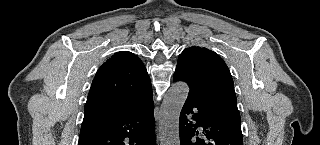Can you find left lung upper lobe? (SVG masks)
<instances>
[{
  "instance_id": "left-lung-upper-lobe-1",
  "label": "left lung upper lobe",
  "mask_w": 320,
  "mask_h": 145,
  "mask_svg": "<svg viewBox=\"0 0 320 145\" xmlns=\"http://www.w3.org/2000/svg\"><path fill=\"white\" fill-rule=\"evenodd\" d=\"M177 66L208 83V97L214 110L221 116L241 124L233 79L227 65L218 54L205 47L191 46L179 55Z\"/></svg>"
}]
</instances>
